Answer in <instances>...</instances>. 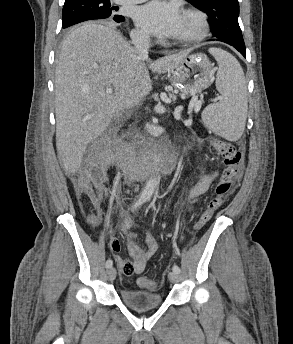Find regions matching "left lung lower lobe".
Returning a JSON list of instances; mask_svg holds the SVG:
<instances>
[{
	"instance_id": "left-lung-lower-lobe-1",
	"label": "left lung lower lobe",
	"mask_w": 293,
	"mask_h": 344,
	"mask_svg": "<svg viewBox=\"0 0 293 344\" xmlns=\"http://www.w3.org/2000/svg\"><path fill=\"white\" fill-rule=\"evenodd\" d=\"M225 43H228V42H225ZM228 44H230L233 47H235L246 58L245 44L244 45L231 44V43H228Z\"/></svg>"
}]
</instances>
